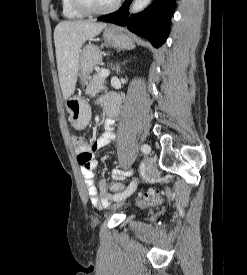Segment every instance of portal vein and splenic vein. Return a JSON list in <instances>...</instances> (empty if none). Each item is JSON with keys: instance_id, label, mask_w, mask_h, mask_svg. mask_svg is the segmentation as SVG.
<instances>
[{"instance_id": "1", "label": "portal vein and splenic vein", "mask_w": 247, "mask_h": 275, "mask_svg": "<svg viewBox=\"0 0 247 275\" xmlns=\"http://www.w3.org/2000/svg\"><path fill=\"white\" fill-rule=\"evenodd\" d=\"M110 74L109 70H106V69H102L100 72H99V75L103 78H106L108 77Z\"/></svg>"}]
</instances>
